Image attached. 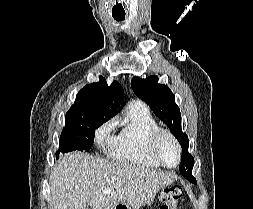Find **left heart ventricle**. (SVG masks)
I'll return each instance as SVG.
<instances>
[{"mask_svg":"<svg viewBox=\"0 0 253 209\" xmlns=\"http://www.w3.org/2000/svg\"><path fill=\"white\" fill-rule=\"evenodd\" d=\"M158 154L167 165H175L178 159L177 149L174 142L168 137L163 136L157 147Z\"/></svg>","mask_w":253,"mask_h":209,"instance_id":"1","label":"left heart ventricle"}]
</instances>
